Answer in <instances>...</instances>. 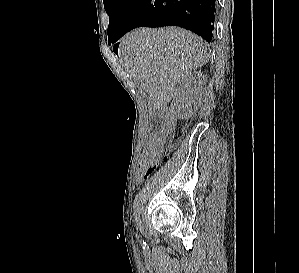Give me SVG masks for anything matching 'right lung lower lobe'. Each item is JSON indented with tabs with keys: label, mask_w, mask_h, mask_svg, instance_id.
I'll return each instance as SVG.
<instances>
[{
	"label": "right lung lower lobe",
	"mask_w": 299,
	"mask_h": 273,
	"mask_svg": "<svg viewBox=\"0 0 299 273\" xmlns=\"http://www.w3.org/2000/svg\"><path fill=\"white\" fill-rule=\"evenodd\" d=\"M215 13L216 0H134L111 43L140 26L170 25L191 30L211 42Z\"/></svg>",
	"instance_id": "1"
}]
</instances>
